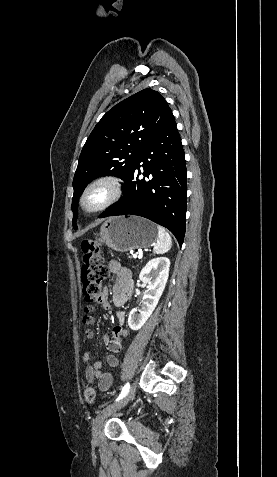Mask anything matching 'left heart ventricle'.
Instances as JSON below:
<instances>
[{
    "label": "left heart ventricle",
    "mask_w": 277,
    "mask_h": 477,
    "mask_svg": "<svg viewBox=\"0 0 277 477\" xmlns=\"http://www.w3.org/2000/svg\"><path fill=\"white\" fill-rule=\"evenodd\" d=\"M104 190H97L96 192H94L90 199H89V204L90 205H95L97 204L99 201L102 200V198L104 197Z\"/></svg>",
    "instance_id": "1"
}]
</instances>
